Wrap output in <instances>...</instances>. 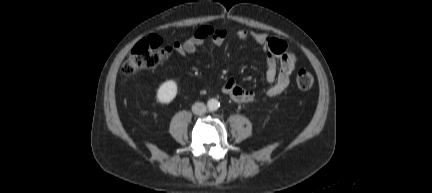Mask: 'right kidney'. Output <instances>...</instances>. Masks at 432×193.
<instances>
[{
    "label": "right kidney",
    "mask_w": 432,
    "mask_h": 193,
    "mask_svg": "<svg viewBox=\"0 0 432 193\" xmlns=\"http://www.w3.org/2000/svg\"><path fill=\"white\" fill-rule=\"evenodd\" d=\"M177 95V83L174 80H168L161 84L157 91V100L162 104H169Z\"/></svg>",
    "instance_id": "obj_1"
}]
</instances>
